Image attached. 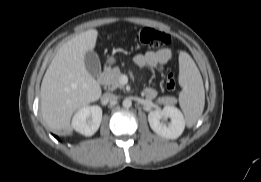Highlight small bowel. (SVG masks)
Wrapping results in <instances>:
<instances>
[{"instance_id":"obj_1","label":"small bowel","mask_w":261,"mask_h":182,"mask_svg":"<svg viewBox=\"0 0 261 182\" xmlns=\"http://www.w3.org/2000/svg\"><path fill=\"white\" fill-rule=\"evenodd\" d=\"M173 52L170 48H163L155 51H147L137 54L134 57V62L139 67L156 68L164 65L173 59ZM146 97L153 99L157 95V91L152 87H147L144 90Z\"/></svg>"}]
</instances>
